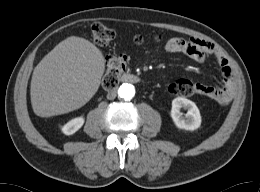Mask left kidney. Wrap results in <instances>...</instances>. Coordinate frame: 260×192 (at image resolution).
<instances>
[{
  "instance_id": "left-kidney-1",
  "label": "left kidney",
  "mask_w": 260,
  "mask_h": 192,
  "mask_svg": "<svg viewBox=\"0 0 260 192\" xmlns=\"http://www.w3.org/2000/svg\"><path fill=\"white\" fill-rule=\"evenodd\" d=\"M181 108L187 109L183 115ZM171 118L179 129L194 131L201 125V115L194 102L184 97H177L172 101Z\"/></svg>"
}]
</instances>
